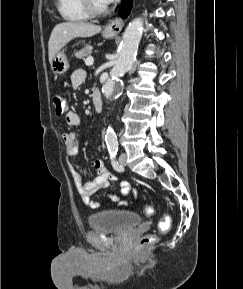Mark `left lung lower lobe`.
Segmentation results:
<instances>
[{
    "mask_svg": "<svg viewBox=\"0 0 243 289\" xmlns=\"http://www.w3.org/2000/svg\"><path fill=\"white\" fill-rule=\"evenodd\" d=\"M131 8H132V0H122L119 15L122 17H126L130 13Z\"/></svg>",
    "mask_w": 243,
    "mask_h": 289,
    "instance_id": "obj_1",
    "label": "left lung lower lobe"
}]
</instances>
